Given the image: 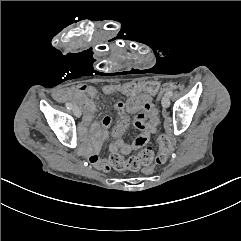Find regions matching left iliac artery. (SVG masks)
I'll return each instance as SVG.
<instances>
[{"label": "left iliac artery", "instance_id": "1", "mask_svg": "<svg viewBox=\"0 0 241 241\" xmlns=\"http://www.w3.org/2000/svg\"><path fill=\"white\" fill-rule=\"evenodd\" d=\"M172 94H173V92H172V91H168V92L166 93V95H167L168 97H171V96H172Z\"/></svg>", "mask_w": 241, "mask_h": 241}]
</instances>
